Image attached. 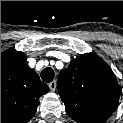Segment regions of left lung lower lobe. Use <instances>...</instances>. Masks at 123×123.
Returning <instances> with one entry per match:
<instances>
[{"label": "left lung lower lobe", "instance_id": "1", "mask_svg": "<svg viewBox=\"0 0 123 123\" xmlns=\"http://www.w3.org/2000/svg\"><path fill=\"white\" fill-rule=\"evenodd\" d=\"M75 121L78 123H99L97 121L89 120L87 118H78Z\"/></svg>", "mask_w": 123, "mask_h": 123}]
</instances>
